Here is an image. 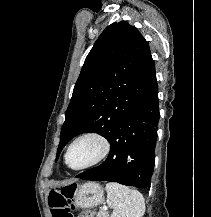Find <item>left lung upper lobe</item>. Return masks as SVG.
I'll list each match as a JSON object with an SVG mask.
<instances>
[{"instance_id":"left-lung-upper-lobe-1","label":"left lung upper lobe","mask_w":211,"mask_h":217,"mask_svg":"<svg viewBox=\"0 0 211 217\" xmlns=\"http://www.w3.org/2000/svg\"><path fill=\"white\" fill-rule=\"evenodd\" d=\"M157 85L148 42L126 21L112 23L86 57L60 133L57 158L74 136L110 139L114 127Z\"/></svg>"}]
</instances>
